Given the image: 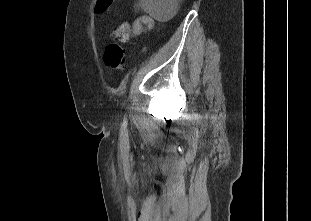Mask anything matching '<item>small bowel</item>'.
Listing matches in <instances>:
<instances>
[{
    "label": "small bowel",
    "mask_w": 311,
    "mask_h": 221,
    "mask_svg": "<svg viewBox=\"0 0 311 221\" xmlns=\"http://www.w3.org/2000/svg\"><path fill=\"white\" fill-rule=\"evenodd\" d=\"M154 24L152 17L148 15H141L134 19L131 31L134 35H140L144 29L151 28Z\"/></svg>",
    "instance_id": "c3829d8e"
}]
</instances>
